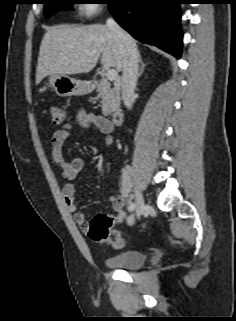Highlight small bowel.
Listing matches in <instances>:
<instances>
[{
  "instance_id": "small-bowel-1",
  "label": "small bowel",
  "mask_w": 236,
  "mask_h": 321,
  "mask_svg": "<svg viewBox=\"0 0 236 321\" xmlns=\"http://www.w3.org/2000/svg\"><path fill=\"white\" fill-rule=\"evenodd\" d=\"M79 121L84 127H96L102 133L106 134L105 143L110 145L113 142L112 132L113 124L112 122L98 114L92 112H80L78 115ZM72 133V126L70 124H65L61 128L57 129L51 139V154L54 162L60 168L62 177L67 180V182L62 187V196L67 209L74 213L75 223L83 230L86 231L88 227V221L83 213L77 212L79 201L76 195V187L71 182L78 173L83 168V160L80 158L67 159L63 155L62 147L65 141L70 137ZM128 192L121 187V193L113 195L110 198L112 207L114 211L118 212L120 215L119 221L122 219L121 210L126 203V196Z\"/></svg>"
}]
</instances>
